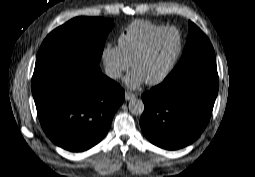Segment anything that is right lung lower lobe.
Wrapping results in <instances>:
<instances>
[{
    "mask_svg": "<svg viewBox=\"0 0 255 177\" xmlns=\"http://www.w3.org/2000/svg\"><path fill=\"white\" fill-rule=\"evenodd\" d=\"M32 93L46 135L73 152L93 147L106 135L125 98L99 66L71 60L35 65Z\"/></svg>",
    "mask_w": 255,
    "mask_h": 177,
    "instance_id": "1",
    "label": "right lung lower lobe"
}]
</instances>
